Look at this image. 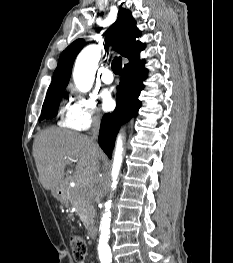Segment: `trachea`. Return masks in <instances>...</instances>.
I'll return each instance as SVG.
<instances>
[{
  "label": "trachea",
  "mask_w": 233,
  "mask_h": 263,
  "mask_svg": "<svg viewBox=\"0 0 233 263\" xmlns=\"http://www.w3.org/2000/svg\"><path fill=\"white\" fill-rule=\"evenodd\" d=\"M111 67L116 75H120L122 69V58L121 57L114 58Z\"/></svg>",
  "instance_id": "obj_1"
}]
</instances>
